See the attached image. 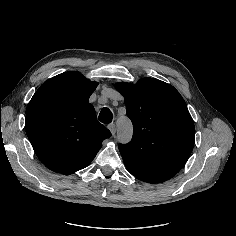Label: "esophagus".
I'll use <instances>...</instances> for the list:
<instances>
[{
    "instance_id": "34e87169",
    "label": "esophagus",
    "mask_w": 236,
    "mask_h": 236,
    "mask_svg": "<svg viewBox=\"0 0 236 236\" xmlns=\"http://www.w3.org/2000/svg\"><path fill=\"white\" fill-rule=\"evenodd\" d=\"M108 129L111 131L112 135L116 133V125L114 123L108 125Z\"/></svg>"
}]
</instances>
